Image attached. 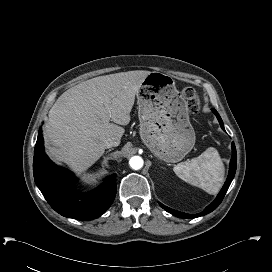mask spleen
Masks as SVG:
<instances>
[{
	"label": "spleen",
	"mask_w": 272,
	"mask_h": 272,
	"mask_svg": "<svg viewBox=\"0 0 272 272\" xmlns=\"http://www.w3.org/2000/svg\"><path fill=\"white\" fill-rule=\"evenodd\" d=\"M173 171L183 181L213 195L218 193L224 180V165L213 147L196 158L177 164Z\"/></svg>",
	"instance_id": "obj_1"
}]
</instances>
